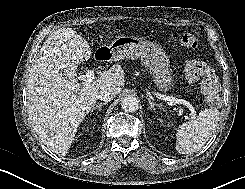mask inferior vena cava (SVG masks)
<instances>
[{"mask_svg": "<svg viewBox=\"0 0 245 189\" xmlns=\"http://www.w3.org/2000/svg\"><path fill=\"white\" fill-rule=\"evenodd\" d=\"M115 92L111 89H102L97 98L102 100V101H105V102H108V101H111L115 98Z\"/></svg>", "mask_w": 245, "mask_h": 189, "instance_id": "obj_1", "label": "inferior vena cava"}]
</instances>
